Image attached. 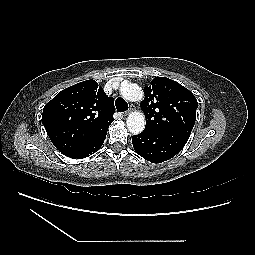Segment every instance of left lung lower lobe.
Listing matches in <instances>:
<instances>
[{
  "label": "left lung lower lobe",
  "instance_id": "1",
  "mask_svg": "<svg viewBox=\"0 0 255 255\" xmlns=\"http://www.w3.org/2000/svg\"><path fill=\"white\" fill-rule=\"evenodd\" d=\"M189 135L172 132L143 131L132 137L138 155L152 163H161L174 157L185 146Z\"/></svg>",
  "mask_w": 255,
  "mask_h": 255
}]
</instances>
